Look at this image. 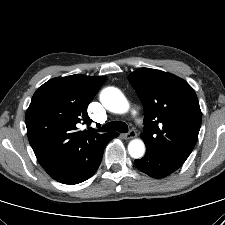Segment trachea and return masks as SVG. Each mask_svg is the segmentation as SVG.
<instances>
[{
  "label": "trachea",
  "mask_w": 225,
  "mask_h": 225,
  "mask_svg": "<svg viewBox=\"0 0 225 225\" xmlns=\"http://www.w3.org/2000/svg\"><path fill=\"white\" fill-rule=\"evenodd\" d=\"M101 132H114L118 131L121 133H127L128 132V126L125 122L122 121H112L105 125H103L100 128Z\"/></svg>",
  "instance_id": "trachea-1"
}]
</instances>
